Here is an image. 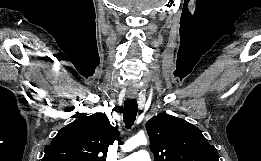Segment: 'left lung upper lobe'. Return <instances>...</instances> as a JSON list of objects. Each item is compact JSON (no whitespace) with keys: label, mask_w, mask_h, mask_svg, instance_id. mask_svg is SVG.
Masks as SVG:
<instances>
[{"label":"left lung upper lobe","mask_w":261,"mask_h":161,"mask_svg":"<svg viewBox=\"0 0 261 161\" xmlns=\"http://www.w3.org/2000/svg\"><path fill=\"white\" fill-rule=\"evenodd\" d=\"M154 161H219L214 145L187 121L166 113L146 124Z\"/></svg>","instance_id":"1"}]
</instances>
